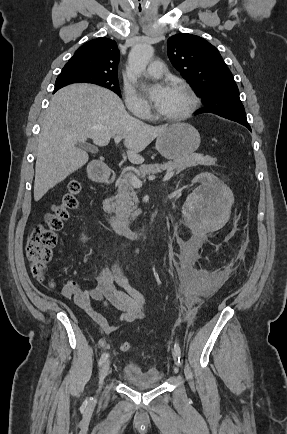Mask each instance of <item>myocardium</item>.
Returning <instances> with one entry per match:
<instances>
[{"label": "myocardium", "instance_id": "myocardium-1", "mask_svg": "<svg viewBox=\"0 0 287 434\" xmlns=\"http://www.w3.org/2000/svg\"><path fill=\"white\" fill-rule=\"evenodd\" d=\"M171 85L179 88L187 95L188 100H189L188 106L184 112H182L181 114L176 115V116H166V115L161 114L160 112L157 113V116L159 119H161L163 121L176 123V122H181V121L188 119L196 111L198 104H199V99H198L196 93L194 92V90L191 88V86L188 85L186 82L180 81V80H175V81L171 82Z\"/></svg>", "mask_w": 287, "mask_h": 434}]
</instances>
